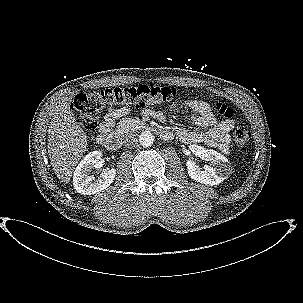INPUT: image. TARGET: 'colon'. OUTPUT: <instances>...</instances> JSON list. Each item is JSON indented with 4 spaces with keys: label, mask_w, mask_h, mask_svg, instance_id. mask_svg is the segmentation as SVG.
Wrapping results in <instances>:
<instances>
[{
    "label": "colon",
    "mask_w": 303,
    "mask_h": 303,
    "mask_svg": "<svg viewBox=\"0 0 303 303\" xmlns=\"http://www.w3.org/2000/svg\"><path fill=\"white\" fill-rule=\"evenodd\" d=\"M175 95L174 88L153 84L108 88L78 94L71 104V111L85 130L93 132L98 128L100 115L111 108L124 106L142 109L169 102ZM214 109L220 117L225 119L233 115L231 108L222 103H216ZM233 137L240 151L247 149L250 133L245 128L237 127L233 132Z\"/></svg>",
    "instance_id": "5ec220e1"
}]
</instances>
